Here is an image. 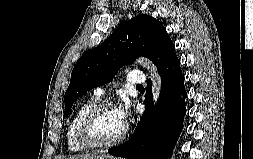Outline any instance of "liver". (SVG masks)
<instances>
[{
    "label": "liver",
    "instance_id": "obj_1",
    "mask_svg": "<svg viewBox=\"0 0 253 159\" xmlns=\"http://www.w3.org/2000/svg\"><path fill=\"white\" fill-rule=\"evenodd\" d=\"M104 157L114 158L110 155H105L101 153H88V154L75 155L71 157L70 159H103Z\"/></svg>",
    "mask_w": 253,
    "mask_h": 159
}]
</instances>
